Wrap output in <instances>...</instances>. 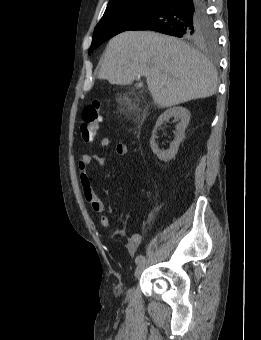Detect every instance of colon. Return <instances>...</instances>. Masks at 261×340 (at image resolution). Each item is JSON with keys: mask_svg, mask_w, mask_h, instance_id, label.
<instances>
[{"mask_svg": "<svg viewBox=\"0 0 261 340\" xmlns=\"http://www.w3.org/2000/svg\"><path fill=\"white\" fill-rule=\"evenodd\" d=\"M102 105L100 102H94L83 109L82 124L80 131L83 140L86 143L93 141L97 136L100 122L103 119Z\"/></svg>", "mask_w": 261, "mask_h": 340, "instance_id": "5ec220e1", "label": "colon"}]
</instances>
